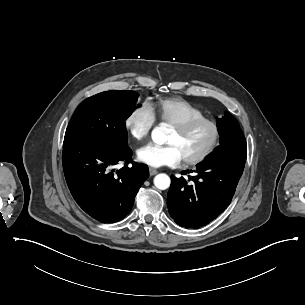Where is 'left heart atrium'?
<instances>
[{"instance_id": "1", "label": "left heart atrium", "mask_w": 305, "mask_h": 305, "mask_svg": "<svg viewBox=\"0 0 305 305\" xmlns=\"http://www.w3.org/2000/svg\"><path fill=\"white\" fill-rule=\"evenodd\" d=\"M137 158L139 161L152 167H160L178 164L182 160V155L173 144H148L137 150Z\"/></svg>"}]
</instances>
